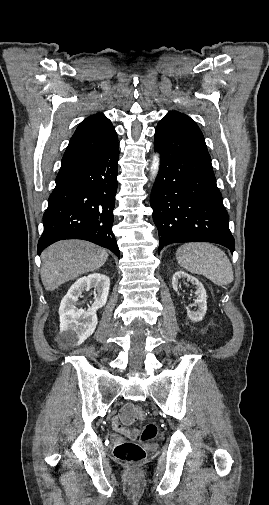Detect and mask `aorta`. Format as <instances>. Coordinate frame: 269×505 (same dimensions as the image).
Masks as SVG:
<instances>
[{"label":"aorta","mask_w":269,"mask_h":505,"mask_svg":"<svg viewBox=\"0 0 269 505\" xmlns=\"http://www.w3.org/2000/svg\"><path fill=\"white\" fill-rule=\"evenodd\" d=\"M160 166V157L158 153H155L151 162V173L153 177L157 176L158 170Z\"/></svg>","instance_id":"obj_1"}]
</instances>
